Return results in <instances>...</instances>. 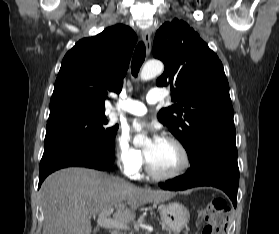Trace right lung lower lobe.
Masks as SVG:
<instances>
[{
	"label": "right lung lower lobe",
	"instance_id": "1",
	"mask_svg": "<svg viewBox=\"0 0 279 234\" xmlns=\"http://www.w3.org/2000/svg\"><path fill=\"white\" fill-rule=\"evenodd\" d=\"M114 160L105 158L90 146L76 141L62 142L45 148L39 166V186L52 172L70 166L106 170Z\"/></svg>",
	"mask_w": 279,
	"mask_h": 234
}]
</instances>
